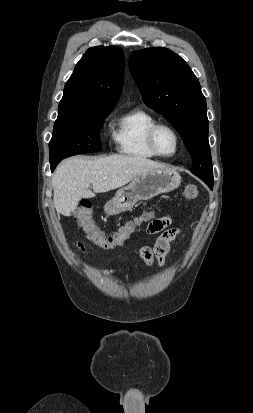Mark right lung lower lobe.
Instances as JSON below:
<instances>
[{"instance_id":"98d812e1","label":"right lung lower lobe","mask_w":253,"mask_h":413,"mask_svg":"<svg viewBox=\"0 0 253 413\" xmlns=\"http://www.w3.org/2000/svg\"><path fill=\"white\" fill-rule=\"evenodd\" d=\"M58 163H59V162L50 163V165H51V171H52V172L54 171V169H55V167L57 166Z\"/></svg>"}]
</instances>
